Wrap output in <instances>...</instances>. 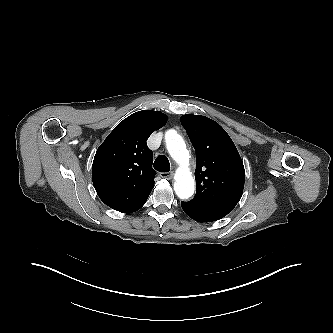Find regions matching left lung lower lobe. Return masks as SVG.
Here are the masks:
<instances>
[{
	"mask_svg": "<svg viewBox=\"0 0 333 333\" xmlns=\"http://www.w3.org/2000/svg\"><path fill=\"white\" fill-rule=\"evenodd\" d=\"M183 211L192 219L198 222H213L223 218L224 216L217 212L194 204L192 202H181Z\"/></svg>",
	"mask_w": 333,
	"mask_h": 333,
	"instance_id": "1",
	"label": "left lung lower lobe"
}]
</instances>
